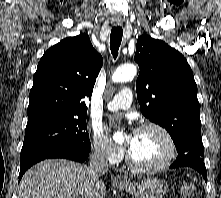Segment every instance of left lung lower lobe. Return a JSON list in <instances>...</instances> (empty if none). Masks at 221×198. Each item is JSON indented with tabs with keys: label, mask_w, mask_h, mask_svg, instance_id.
<instances>
[{
	"label": "left lung lower lobe",
	"mask_w": 221,
	"mask_h": 198,
	"mask_svg": "<svg viewBox=\"0 0 221 198\" xmlns=\"http://www.w3.org/2000/svg\"><path fill=\"white\" fill-rule=\"evenodd\" d=\"M203 159L204 157L191 153L180 155L176 158L170 168L191 167L201 173L205 181H207V171Z\"/></svg>",
	"instance_id": "obj_1"
}]
</instances>
